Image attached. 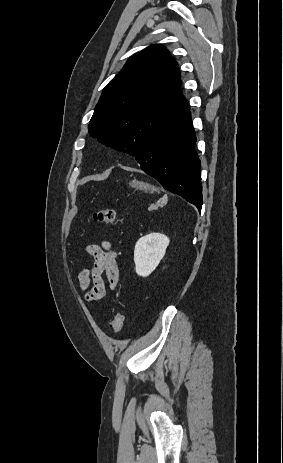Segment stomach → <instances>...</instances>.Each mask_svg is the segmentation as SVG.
<instances>
[{"mask_svg": "<svg viewBox=\"0 0 283 463\" xmlns=\"http://www.w3.org/2000/svg\"><path fill=\"white\" fill-rule=\"evenodd\" d=\"M129 185L132 187V188H135L136 190H144L145 192H155V191H158V189L154 186V185H151L149 183H144L142 181H137V180H133L132 182L129 183Z\"/></svg>", "mask_w": 283, "mask_h": 463, "instance_id": "stomach-1", "label": "stomach"}]
</instances>
